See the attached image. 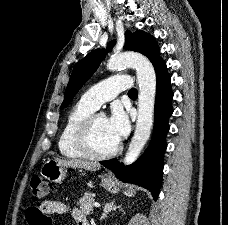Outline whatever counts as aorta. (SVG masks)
I'll return each instance as SVG.
<instances>
[{
	"instance_id": "1",
	"label": "aorta",
	"mask_w": 228,
	"mask_h": 225,
	"mask_svg": "<svg viewBox=\"0 0 228 225\" xmlns=\"http://www.w3.org/2000/svg\"><path fill=\"white\" fill-rule=\"evenodd\" d=\"M106 66L108 70H118V68H125V66L136 68V76L140 88L138 96V119L134 137H132L124 159L125 165H132L138 159L151 135L156 92L154 66L146 56L139 54V52H119V54H112Z\"/></svg>"
}]
</instances>
